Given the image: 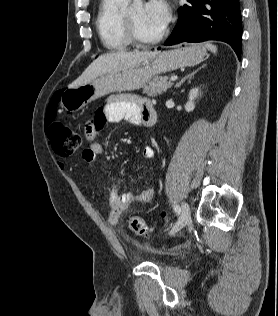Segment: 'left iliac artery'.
Returning <instances> with one entry per match:
<instances>
[{"instance_id":"left-iliac-artery-1","label":"left iliac artery","mask_w":278,"mask_h":316,"mask_svg":"<svg viewBox=\"0 0 278 316\" xmlns=\"http://www.w3.org/2000/svg\"><path fill=\"white\" fill-rule=\"evenodd\" d=\"M174 211L176 212V214L180 213L181 209H180L179 205L174 204Z\"/></svg>"}]
</instances>
